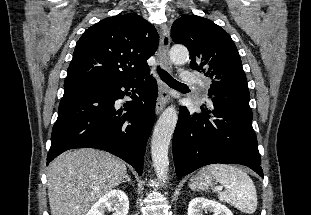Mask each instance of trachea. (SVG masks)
Instances as JSON below:
<instances>
[{"label": "trachea", "mask_w": 311, "mask_h": 215, "mask_svg": "<svg viewBox=\"0 0 311 215\" xmlns=\"http://www.w3.org/2000/svg\"><path fill=\"white\" fill-rule=\"evenodd\" d=\"M157 71L161 77V79L167 83L170 87L178 88V87H186L185 84L178 82L173 77L169 75L165 70L161 69L159 66L157 67Z\"/></svg>", "instance_id": "3493384b"}]
</instances>
